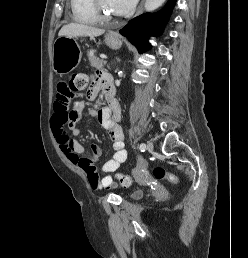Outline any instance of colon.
Returning <instances> with one entry per match:
<instances>
[{"label":"colon","mask_w":248,"mask_h":258,"mask_svg":"<svg viewBox=\"0 0 248 258\" xmlns=\"http://www.w3.org/2000/svg\"><path fill=\"white\" fill-rule=\"evenodd\" d=\"M89 84L90 78L86 73L79 72L74 74L70 85L71 96L78 95L80 92L87 89ZM153 175L158 180H167L171 183L176 182V177L162 166H155L153 168ZM116 178L123 186L126 187L130 186L132 183V178L125 174L117 173Z\"/></svg>","instance_id":"colon-1"}]
</instances>
